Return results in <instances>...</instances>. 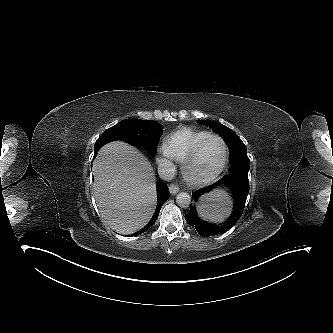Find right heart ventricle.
Instances as JSON below:
<instances>
[{
	"instance_id": "1",
	"label": "right heart ventricle",
	"mask_w": 333,
	"mask_h": 333,
	"mask_svg": "<svg viewBox=\"0 0 333 333\" xmlns=\"http://www.w3.org/2000/svg\"><path fill=\"white\" fill-rule=\"evenodd\" d=\"M208 135L207 131L185 127L166 138L165 148L171 158L183 162L193 147Z\"/></svg>"
}]
</instances>
